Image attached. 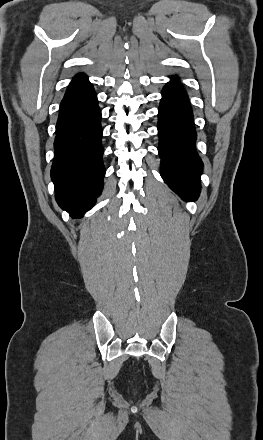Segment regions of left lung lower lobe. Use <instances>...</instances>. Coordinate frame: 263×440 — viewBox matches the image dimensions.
<instances>
[{"label": "left lung lower lobe", "instance_id": "obj_1", "mask_svg": "<svg viewBox=\"0 0 263 440\" xmlns=\"http://www.w3.org/2000/svg\"><path fill=\"white\" fill-rule=\"evenodd\" d=\"M158 118L161 176L182 199L195 201L200 194L203 164L195 149L188 95L176 77L163 88Z\"/></svg>", "mask_w": 263, "mask_h": 440}]
</instances>
